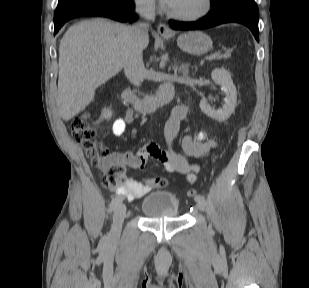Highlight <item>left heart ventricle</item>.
<instances>
[{
  "label": "left heart ventricle",
  "instance_id": "1",
  "mask_svg": "<svg viewBox=\"0 0 309 288\" xmlns=\"http://www.w3.org/2000/svg\"><path fill=\"white\" fill-rule=\"evenodd\" d=\"M204 6V0H174L170 10L183 13V14H194L202 10Z\"/></svg>",
  "mask_w": 309,
  "mask_h": 288
}]
</instances>
